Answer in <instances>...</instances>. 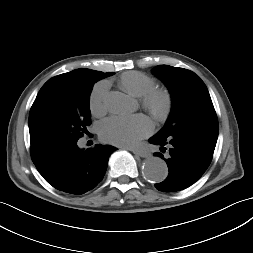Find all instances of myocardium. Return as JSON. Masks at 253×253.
Masks as SVG:
<instances>
[{"mask_svg":"<svg viewBox=\"0 0 253 253\" xmlns=\"http://www.w3.org/2000/svg\"><path fill=\"white\" fill-rule=\"evenodd\" d=\"M141 102L160 121L167 119L173 108V96L166 88H153L142 96Z\"/></svg>","mask_w":253,"mask_h":253,"instance_id":"obj_1","label":"myocardium"}]
</instances>
